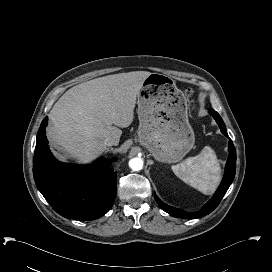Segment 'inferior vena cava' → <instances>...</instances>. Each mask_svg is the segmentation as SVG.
Masks as SVG:
<instances>
[{
	"label": "inferior vena cava",
	"mask_w": 272,
	"mask_h": 272,
	"mask_svg": "<svg viewBox=\"0 0 272 272\" xmlns=\"http://www.w3.org/2000/svg\"><path fill=\"white\" fill-rule=\"evenodd\" d=\"M104 143L107 147L118 145V141L112 137L106 138Z\"/></svg>",
	"instance_id": "602c4592"
}]
</instances>
